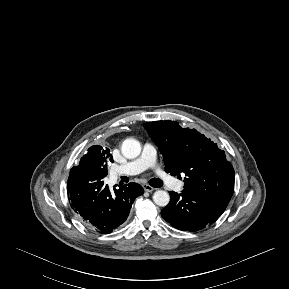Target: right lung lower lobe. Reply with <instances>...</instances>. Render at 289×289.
Masks as SVG:
<instances>
[{"label":"right lung lower lobe","instance_id":"right-lung-lower-lobe-1","mask_svg":"<svg viewBox=\"0 0 289 289\" xmlns=\"http://www.w3.org/2000/svg\"><path fill=\"white\" fill-rule=\"evenodd\" d=\"M68 199L85 225L101 234H108L128 217L138 196L144 193L136 183L114 188L111 193L103 178L73 167L67 182Z\"/></svg>","mask_w":289,"mask_h":289}]
</instances>
